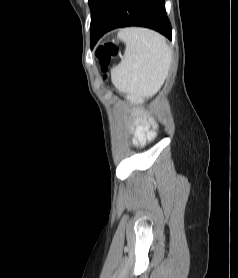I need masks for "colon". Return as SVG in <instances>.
Returning <instances> with one entry per match:
<instances>
[{"instance_id":"obj_1","label":"colon","mask_w":238,"mask_h":278,"mask_svg":"<svg viewBox=\"0 0 238 278\" xmlns=\"http://www.w3.org/2000/svg\"><path fill=\"white\" fill-rule=\"evenodd\" d=\"M117 53V45L114 43H107L97 50L96 55L100 64L105 68Z\"/></svg>"}]
</instances>
